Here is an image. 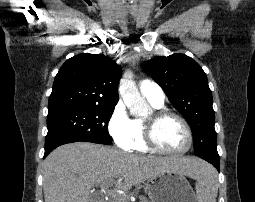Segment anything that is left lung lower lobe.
<instances>
[{
	"label": "left lung lower lobe",
	"mask_w": 255,
	"mask_h": 202,
	"mask_svg": "<svg viewBox=\"0 0 255 202\" xmlns=\"http://www.w3.org/2000/svg\"><path fill=\"white\" fill-rule=\"evenodd\" d=\"M206 161H208L209 163H211L217 170H219V161H215L212 159H204Z\"/></svg>",
	"instance_id": "obj_1"
}]
</instances>
